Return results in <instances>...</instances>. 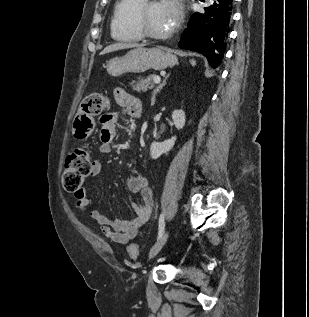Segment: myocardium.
Wrapping results in <instances>:
<instances>
[{"mask_svg": "<svg viewBox=\"0 0 309 317\" xmlns=\"http://www.w3.org/2000/svg\"><path fill=\"white\" fill-rule=\"evenodd\" d=\"M156 1H148L144 2L138 9L136 23L137 27L142 34L143 37L154 39V40H164L171 37L177 29V25H175L171 30L163 34H157L152 32L147 24H146V14L149 6Z\"/></svg>", "mask_w": 309, "mask_h": 317, "instance_id": "f54148a6", "label": "myocardium"}]
</instances>
